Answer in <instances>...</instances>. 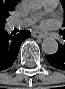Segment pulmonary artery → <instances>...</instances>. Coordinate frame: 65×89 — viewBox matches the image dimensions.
Wrapping results in <instances>:
<instances>
[{
	"instance_id": "e3ab8cb5",
	"label": "pulmonary artery",
	"mask_w": 65,
	"mask_h": 89,
	"mask_svg": "<svg viewBox=\"0 0 65 89\" xmlns=\"http://www.w3.org/2000/svg\"><path fill=\"white\" fill-rule=\"evenodd\" d=\"M58 5V2L56 0H45L43 3L44 11L45 12H51L53 11ZM37 19V16H30L23 19H13L9 22L10 28H20V27H26L35 22Z\"/></svg>"
}]
</instances>
